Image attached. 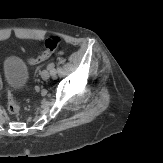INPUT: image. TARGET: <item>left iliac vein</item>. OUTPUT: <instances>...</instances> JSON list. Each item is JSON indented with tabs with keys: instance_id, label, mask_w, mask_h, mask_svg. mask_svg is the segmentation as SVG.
Listing matches in <instances>:
<instances>
[{
	"instance_id": "obj_1",
	"label": "left iliac vein",
	"mask_w": 163,
	"mask_h": 163,
	"mask_svg": "<svg viewBox=\"0 0 163 163\" xmlns=\"http://www.w3.org/2000/svg\"><path fill=\"white\" fill-rule=\"evenodd\" d=\"M49 77H50V72H49L47 69H45V70H43V71L41 72V78H42L43 80H48Z\"/></svg>"
}]
</instances>
